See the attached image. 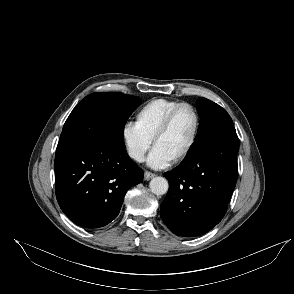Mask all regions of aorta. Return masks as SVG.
Wrapping results in <instances>:
<instances>
[{"label": "aorta", "mask_w": 294, "mask_h": 294, "mask_svg": "<svg viewBox=\"0 0 294 294\" xmlns=\"http://www.w3.org/2000/svg\"><path fill=\"white\" fill-rule=\"evenodd\" d=\"M149 187L152 193L156 195H163L168 191L169 185L168 181L163 177H154L150 183Z\"/></svg>", "instance_id": "obj_1"}]
</instances>
